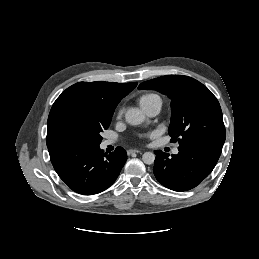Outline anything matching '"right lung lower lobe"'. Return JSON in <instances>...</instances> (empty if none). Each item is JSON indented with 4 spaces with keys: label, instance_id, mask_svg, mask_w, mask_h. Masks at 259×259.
Wrapping results in <instances>:
<instances>
[{
    "label": "right lung lower lobe",
    "instance_id": "right-lung-lower-lobe-1",
    "mask_svg": "<svg viewBox=\"0 0 259 259\" xmlns=\"http://www.w3.org/2000/svg\"><path fill=\"white\" fill-rule=\"evenodd\" d=\"M59 177L73 191L92 195L109 188L127 160L126 151L117 147L109 155L99 145H76L48 149Z\"/></svg>",
    "mask_w": 259,
    "mask_h": 259
}]
</instances>
